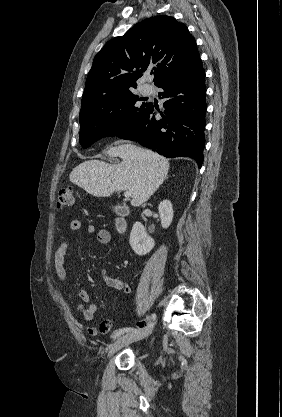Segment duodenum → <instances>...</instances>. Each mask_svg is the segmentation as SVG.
Segmentation results:
<instances>
[{"label":"duodenum","mask_w":282,"mask_h":417,"mask_svg":"<svg viewBox=\"0 0 282 417\" xmlns=\"http://www.w3.org/2000/svg\"><path fill=\"white\" fill-rule=\"evenodd\" d=\"M115 228L120 235H123L127 231V220L124 215H120L117 217L115 221Z\"/></svg>","instance_id":"duodenum-1"}]
</instances>
